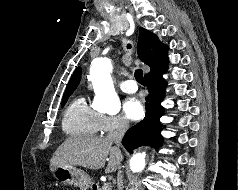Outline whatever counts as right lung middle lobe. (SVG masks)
I'll list each match as a JSON object with an SVG mask.
<instances>
[{
  "mask_svg": "<svg viewBox=\"0 0 238 190\" xmlns=\"http://www.w3.org/2000/svg\"><path fill=\"white\" fill-rule=\"evenodd\" d=\"M71 94H72V93L64 94L63 101H62V107L65 105V103H66L67 100H68V97H69Z\"/></svg>",
  "mask_w": 238,
  "mask_h": 190,
  "instance_id": "1",
  "label": "right lung middle lobe"
}]
</instances>
